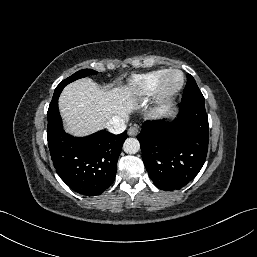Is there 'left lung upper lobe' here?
Wrapping results in <instances>:
<instances>
[{
  "instance_id": "1",
  "label": "left lung upper lobe",
  "mask_w": 257,
  "mask_h": 257,
  "mask_svg": "<svg viewBox=\"0 0 257 257\" xmlns=\"http://www.w3.org/2000/svg\"><path fill=\"white\" fill-rule=\"evenodd\" d=\"M182 102L205 103L204 96L190 74H187V84L183 92Z\"/></svg>"
}]
</instances>
